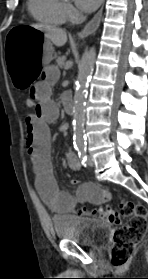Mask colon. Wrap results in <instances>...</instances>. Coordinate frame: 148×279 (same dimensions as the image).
Masks as SVG:
<instances>
[{
	"label": "colon",
	"mask_w": 148,
	"mask_h": 279,
	"mask_svg": "<svg viewBox=\"0 0 148 279\" xmlns=\"http://www.w3.org/2000/svg\"><path fill=\"white\" fill-rule=\"evenodd\" d=\"M25 104L28 108L35 107L34 96L29 94ZM83 210L86 211V208ZM91 213L107 223L119 225L113 234L111 262L114 266L126 264L148 230L147 209L127 200L121 202L118 209L98 208L91 210Z\"/></svg>",
	"instance_id": "5ec220e1"
}]
</instances>
